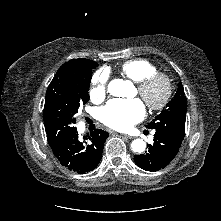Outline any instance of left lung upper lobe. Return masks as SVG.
I'll list each match as a JSON object with an SVG mask.
<instances>
[{
    "instance_id": "1",
    "label": "left lung upper lobe",
    "mask_w": 221,
    "mask_h": 221,
    "mask_svg": "<svg viewBox=\"0 0 221 221\" xmlns=\"http://www.w3.org/2000/svg\"><path fill=\"white\" fill-rule=\"evenodd\" d=\"M186 111L184 89L180 83L174 98L166 105L165 110L161 111L146 127L155 130L163 129L171 131L179 137L184 138Z\"/></svg>"
}]
</instances>
